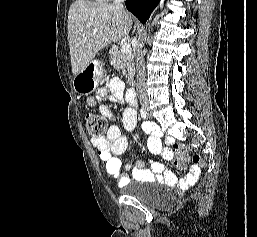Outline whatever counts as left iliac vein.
Instances as JSON below:
<instances>
[{
    "mask_svg": "<svg viewBox=\"0 0 257 237\" xmlns=\"http://www.w3.org/2000/svg\"><path fill=\"white\" fill-rule=\"evenodd\" d=\"M148 116H149V117L151 116V112H150V111H148Z\"/></svg>",
    "mask_w": 257,
    "mask_h": 237,
    "instance_id": "1",
    "label": "left iliac vein"
}]
</instances>
